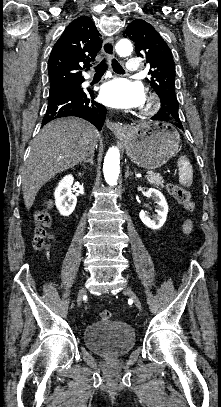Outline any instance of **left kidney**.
<instances>
[{"mask_svg": "<svg viewBox=\"0 0 221 407\" xmlns=\"http://www.w3.org/2000/svg\"><path fill=\"white\" fill-rule=\"evenodd\" d=\"M138 190L142 191L143 189L140 187L138 188ZM146 194L148 197H151L158 205V210H156L157 214L155 217L152 218L147 216L144 211H141L139 217L144 225L153 230H156L161 228L166 221L168 214V204L163 194L155 188L148 189Z\"/></svg>", "mask_w": 221, "mask_h": 407, "instance_id": "left-kidney-1", "label": "left kidney"}]
</instances>
